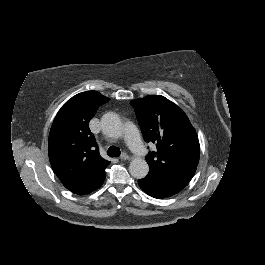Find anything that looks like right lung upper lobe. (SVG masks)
Here are the masks:
<instances>
[{
	"label": "right lung upper lobe",
	"instance_id": "right-lung-upper-lobe-1",
	"mask_svg": "<svg viewBox=\"0 0 265 265\" xmlns=\"http://www.w3.org/2000/svg\"><path fill=\"white\" fill-rule=\"evenodd\" d=\"M109 101L97 91L79 93L58 111L48 139L51 167L62 184L78 195L91 193L105 180L104 160L89 129L100 105Z\"/></svg>",
	"mask_w": 265,
	"mask_h": 265
}]
</instances>
